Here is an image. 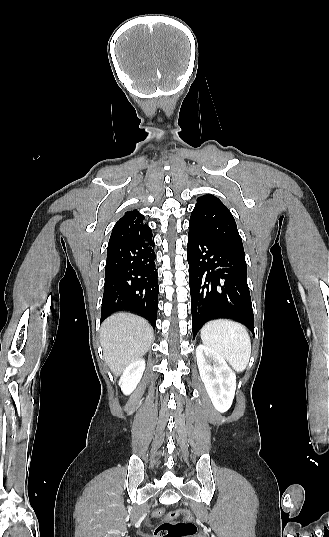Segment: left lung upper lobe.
I'll list each match as a JSON object with an SVG mask.
<instances>
[{
  "instance_id": "5c2ea615",
  "label": "left lung upper lobe",
  "mask_w": 329,
  "mask_h": 537,
  "mask_svg": "<svg viewBox=\"0 0 329 537\" xmlns=\"http://www.w3.org/2000/svg\"><path fill=\"white\" fill-rule=\"evenodd\" d=\"M211 239L244 253L236 222L228 208L210 194L197 199L190 224Z\"/></svg>"
}]
</instances>
